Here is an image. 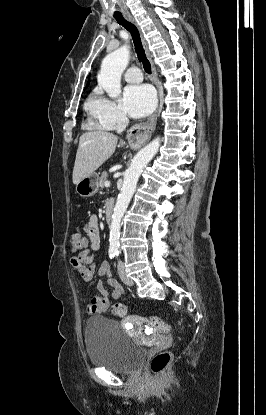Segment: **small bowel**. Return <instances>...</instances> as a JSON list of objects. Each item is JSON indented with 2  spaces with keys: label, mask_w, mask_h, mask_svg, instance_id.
Returning <instances> with one entry per match:
<instances>
[{
  "label": "small bowel",
  "mask_w": 266,
  "mask_h": 415,
  "mask_svg": "<svg viewBox=\"0 0 266 415\" xmlns=\"http://www.w3.org/2000/svg\"><path fill=\"white\" fill-rule=\"evenodd\" d=\"M85 230L89 239V247L80 252L77 257H73L71 259V265L79 273L84 282H90L93 280L96 271L94 253L100 248L98 217L95 214L90 216ZM97 273L100 277H107V282L112 288V292L109 293L103 283L99 281L97 284L99 296L92 299L91 303L88 304L87 311L89 314L106 312L110 304V299H117L124 292L122 286L112 278L108 262H102L97 269Z\"/></svg>",
  "instance_id": "c3829d8e"
}]
</instances>
